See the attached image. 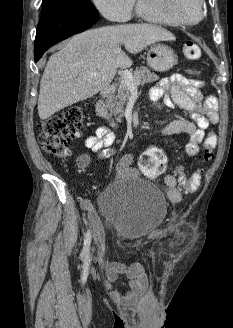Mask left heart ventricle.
Wrapping results in <instances>:
<instances>
[{"label":"left heart ventricle","mask_w":233,"mask_h":328,"mask_svg":"<svg viewBox=\"0 0 233 328\" xmlns=\"http://www.w3.org/2000/svg\"><path fill=\"white\" fill-rule=\"evenodd\" d=\"M172 11L184 20H196L199 17L198 0H168Z\"/></svg>","instance_id":"1"}]
</instances>
